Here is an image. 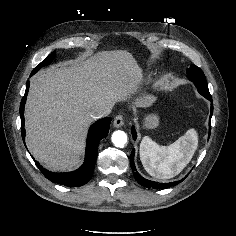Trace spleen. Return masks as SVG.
<instances>
[{"instance_id":"1","label":"spleen","mask_w":236,"mask_h":236,"mask_svg":"<svg viewBox=\"0 0 236 236\" xmlns=\"http://www.w3.org/2000/svg\"><path fill=\"white\" fill-rule=\"evenodd\" d=\"M198 146V135L189 129L169 146H160L150 137L140 143V159L145 170L158 179H170L178 175L191 161Z\"/></svg>"}]
</instances>
